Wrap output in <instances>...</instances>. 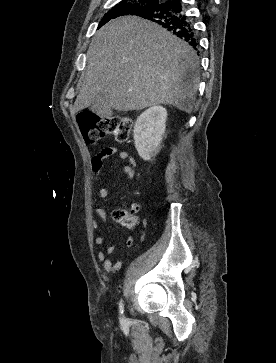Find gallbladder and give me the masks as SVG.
Here are the masks:
<instances>
[{
  "label": "gallbladder",
  "instance_id": "gallbladder-1",
  "mask_svg": "<svg viewBox=\"0 0 276 363\" xmlns=\"http://www.w3.org/2000/svg\"><path fill=\"white\" fill-rule=\"evenodd\" d=\"M90 109L101 118H109L113 113L112 108L108 105L107 99L101 93L98 94Z\"/></svg>",
  "mask_w": 276,
  "mask_h": 363
}]
</instances>
